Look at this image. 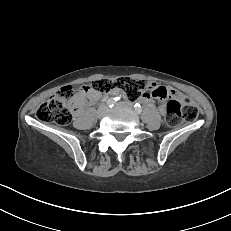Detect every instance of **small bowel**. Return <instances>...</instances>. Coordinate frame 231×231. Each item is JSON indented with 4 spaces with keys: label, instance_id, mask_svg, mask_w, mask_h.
Listing matches in <instances>:
<instances>
[{
    "label": "small bowel",
    "instance_id": "obj_1",
    "mask_svg": "<svg viewBox=\"0 0 231 231\" xmlns=\"http://www.w3.org/2000/svg\"><path fill=\"white\" fill-rule=\"evenodd\" d=\"M112 93H117L116 90H113ZM152 97L157 98H170L179 100L181 99V93L171 87H164L158 85H151L150 89L146 91L141 100L144 103H150ZM99 98V94L93 92L88 86H81L78 88V93L74 99V108L78 111L84 105L92 104Z\"/></svg>",
    "mask_w": 231,
    "mask_h": 231
}]
</instances>
